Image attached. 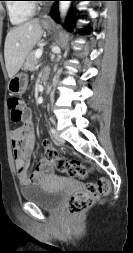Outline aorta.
<instances>
[{
  "label": "aorta",
  "mask_w": 133,
  "mask_h": 253,
  "mask_svg": "<svg viewBox=\"0 0 133 253\" xmlns=\"http://www.w3.org/2000/svg\"><path fill=\"white\" fill-rule=\"evenodd\" d=\"M70 7V1H60L59 2V12H60V17L62 19V21H64L68 10Z\"/></svg>",
  "instance_id": "1"
}]
</instances>
